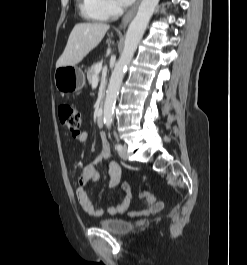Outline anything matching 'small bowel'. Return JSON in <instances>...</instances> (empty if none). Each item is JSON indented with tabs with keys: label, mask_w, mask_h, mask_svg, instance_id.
I'll return each instance as SVG.
<instances>
[{
	"label": "small bowel",
	"mask_w": 247,
	"mask_h": 265,
	"mask_svg": "<svg viewBox=\"0 0 247 265\" xmlns=\"http://www.w3.org/2000/svg\"><path fill=\"white\" fill-rule=\"evenodd\" d=\"M87 139V134L83 133L80 136V141L84 142ZM102 140V149L98 157L91 163L83 166L81 173L76 182V197L81 208L90 215L93 216H102L104 211L102 209L96 208L89 195L88 187L92 183L96 182L99 179V173L96 169V164L105 159L110 160L108 163V177H107V187L114 188L116 187L121 180V167L118 163L112 160L113 154L110 148V145L103 134L101 136ZM81 157V155H80ZM131 206V198L125 196L118 204L109 206L107 212L109 214H123L128 211ZM162 209V203L158 202L152 205L148 210H143L141 212H132V216L139 215H148L151 213H156Z\"/></svg>",
	"instance_id": "c3829d8e"
}]
</instances>
